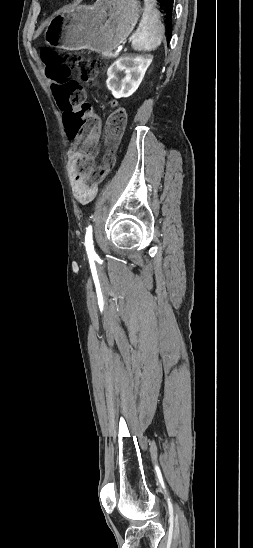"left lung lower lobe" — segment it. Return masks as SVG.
Instances as JSON below:
<instances>
[{
	"instance_id": "0a47b994",
	"label": "left lung lower lobe",
	"mask_w": 253,
	"mask_h": 548,
	"mask_svg": "<svg viewBox=\"0 0 253 548\" xmlns=\"http://www.w3.org/2000/svg\"><path fill=\"white\" fill-rule=\"evenodd\" d=\"M164 13L166 14V25L169 28V34H168V40L171 39L172 36V17H173V8H174V0H157Z\"/></svg>"
}]
</instances>
